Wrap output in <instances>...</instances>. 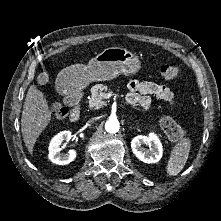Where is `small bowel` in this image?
Instances as JSON below:
<instances>
[{
    "instance_id": "obj_1",
    "label": "small bowel",
    "mask_w": 221,
    "mask_h": 221,
    "mask_svg": "<svg viewBox=\"0 0 221 221\" xmlns=\"http://www.w3.org/2000/svg\"><path fill=\"white\" fill-rule=\"evenodd\" d=\"M128 87L131 90L126 97L128 105H139L147 110L151 105V97L169 104L174 102V94L168 87L152 81L131 80Z\"/></svg>"
}]
</instances>
